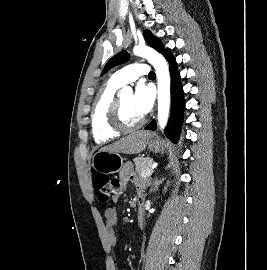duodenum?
<instances>
[{
	"instance_id": "1",
	"label": "duodenum",
	"mask_w": 267,
	"mask_h": 270,
	"mask_svg": "<svg viewBox=\"0 0 267 270\" xmlns=\"http://www.w3.org/2000/svg\"><path fill=\"white\" fill-rule=\"evenodd\" d=\"M138 214H137V224L141 226L144 220V198L138 197Z\"/></svg>"
}]
</instances>
